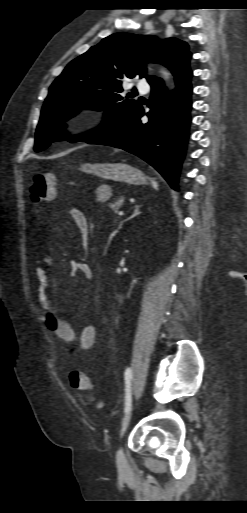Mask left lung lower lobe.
Returning <instances> with one entry per match:
<instances>
[{
  "label": "left lung lower lobe",
  "mask_w": 247,
  "mask_h": 513,
  "mask_svg": "<svg viewBox=\"0 0 247 513\" xmlns=\"http://www.w3.org/2000/svg\"><path fill=\"white\" fill-rule=\"evenodd\" d=\"M189 60L173 73L177 86L174 93L166 90L162 80L151 86L147 123L141 121L145 113L138 104L110 130L87 143L120 148L140 157L177 189L190 123L192 72Z\"/></svg>",
  "instance_id": "0a47b994"
}]
</instances>
